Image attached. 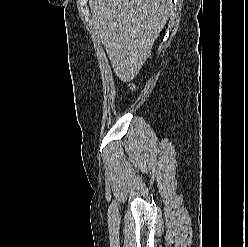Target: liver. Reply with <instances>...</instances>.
<instances>
[{"label": "liver", "mask_w": 248, "mask_h": 247, "mask_svg": "<svg viewBox=\"0 0 248 247\" xmlns=\"http://www.w3.org/2000/svg\"><path fill=\"white\" fill-rule=\"evenodd\" d=\"M92 21L115 74L136 77L172 9L171 0H89Z\"/></svg>", "instance_id": "6515ba94"}]
</instances>
